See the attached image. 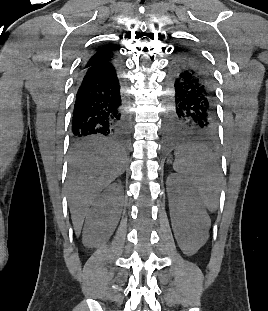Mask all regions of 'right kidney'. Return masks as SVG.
Segmentation results:
<instances>
[{"instance_id":"obj_1","label":"right kidney","mask_w":268,"mask_h":311,"mask_svg":"<svg viewBox=\"0 0 268 311\" xmlns=\"http://www.w3.org/2000/svg\"><path fill=\"white\" fill-rule=\"evenodd\" d=\"M123 194L122 185L113 183L93 202L84 224V246L97 248L109 239L120 219Z\"/></svg>"}]
</instances>
